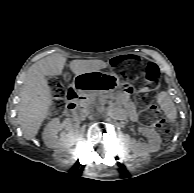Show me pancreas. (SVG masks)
Masks as SVG:
<instances>
[{
    "mask_svg": "<svg viewBox=\"0 0 194 193\" xmlns=\"http://www.w3.org/2000/svg\"><path fill=\"white\" fill-rule=\"evenodd\" d=\"M106 99H108L109 101H115L117 99V101H120V98H117L116 95H111V94H100V96H98L95 99V102L97 104H104L106 102ZM122 103H125V100H122Z\"/></svg>",
    "mask_w": 194,
    "mask_h": 193,
    "instance_id": "obj_1",
    "label": "pancreas"
}]
</instances>
